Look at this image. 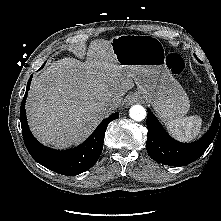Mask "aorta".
<instances>
[{"label":"aorta","mask_w":221,"mask_h":221,"mask_svg":"<svg viewBox=\"0 0 221 221\" xmlns=\"http://www.w3.org/2000/svg\"><path fill=\"white\" fill-rule=\"evenodd\" d=\"M129 115L135 121H142L146 117V110L141 105H134L130 108Z\"/></svg>","instance_id":"aorta-1"}]
</instances>
